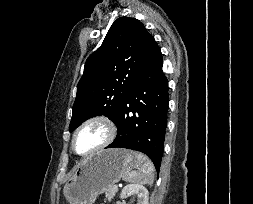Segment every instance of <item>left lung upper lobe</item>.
<instances>
[{
    "label": "left lung upper lobe",
    "instance_id": "5c2ea615",
    "mask_svg": "<svg viewBox=\"0 0 253 204\" xmlns=\"http://www.w3.org/2000/svg\"><path fill=\"white\" fill-rule=\"evenodd\" d=\"M156 46L153 36L139 20L118 18L102 45L86 60L77 85L70 132L97 115L115 122Z\"/></svg>",
    "mask_w": 253,
    "mask_h": 204
}]
</instances>
